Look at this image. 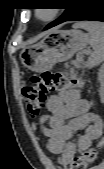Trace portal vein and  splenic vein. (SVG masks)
I'll return each instance as SVG.
<instances>
[{
    "instance_id": "1",
    "label": "portal vein and splenic vein",
    "mask_w": 104,
    "mask_h": 169,
    "mask_svg": "<svg viewBox=\"0 0 104 169\" xmlns=\"http://www.w3.org/2000/svg\"><path fill=\"white\" fill-rule=\"evenodd\" d=\"M82 61V57H77V59H76V62H81Z\"/></svg>"
}]
</instances>
